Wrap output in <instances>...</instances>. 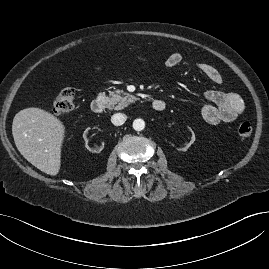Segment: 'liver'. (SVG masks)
<instances>
[{"mask_svg": "<svg viewBox=\"0 0 269 269\" xmlns=\"http://www.w3.org/2000/svg\"><path fill=\"white\" fill-rule=\"evenodd\" d=\"M12 134L28 162L51 176L59 173L65 137V126L59 118L41 108L23 109L13 119Z\"/></svg>", "mask_w": 269, "mask_h": 269, "instance_id": "6515ba94", "label": "liver"}]
</instances>
